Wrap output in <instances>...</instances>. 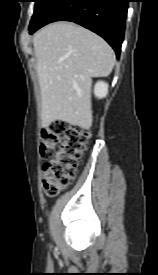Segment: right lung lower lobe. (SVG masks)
Returning a JSON list of instances; mask_svg holds the SVG:
<instances>
[{
	"mask_svg": "<svg viewBox=\"0 0 158 275\" xmlns=\"http://www.w3.org/2000/svg\"><path fill=\"white\" fill-rule=\"evenodd\" d=\"M128 2V0H56L35 25L29 26V30L32 34L54 21H72L104 38L119 57Z\"/></svg>",
	"mask_w": 158,
	"mask_h": 275,
	"instance_id": "obj_1",
	"label": "right lung lower lobe"
}]
</instances>
